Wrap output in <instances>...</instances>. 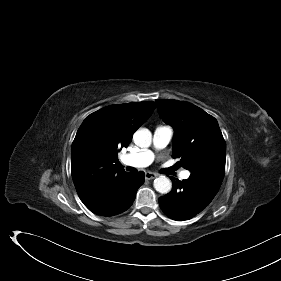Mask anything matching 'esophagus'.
<instances>
[{
    "label": "esophagus",
    "mask_w": 281,
    "mask_h": 281,
    "mask_svg": "<svg viewBox=\"0 0 281 281\" xmlns=\"http://www.w3.org/2000/svg\"><path fill=\"white\" fill-rule=\"evenodd\" d=\"M157 176H158L157 174L152 173V172H147V173L145 174V178H146L147 180L154 179V178H156Z\"/></svg>",
    "instance_id": "esophagus-1"
}]
</instances>
